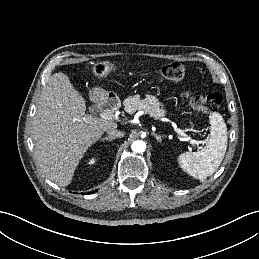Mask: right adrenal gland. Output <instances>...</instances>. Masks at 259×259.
Wrapping results in <instances>:
<instances>
[{
	"instance_id": "1",
	"label": "right adrenal gland",
	"mask_w": 259,
	"mask_h": 259,
	"mask_svg": "<svg viewBox=\"0 0 259 259\" xmlns=\"http://www.w3.org/2000/svg\"><path fill=\"white\" fill-rule=\"evenodd\" d=\"M114 139H115L114 136H107V137L101 138L100 141H105L106 140V141L112 142Z\"/></svg>"
}]
</instances>
